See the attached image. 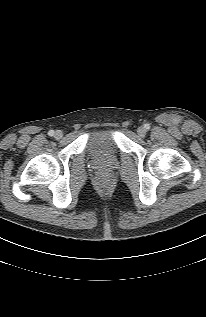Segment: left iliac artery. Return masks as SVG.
<instances>
[{
  "label": "left iliac artery",
  "mask_w": 206,
  "mask_h": 317,
  "mask_svg": "<svg viewBox=\"0 0 206 317\" xmlns=\"http://www.w3.org/2000/svg\"><path fill=\"white\" fill-rule=\"evenodd\" d=\"M144 128L149 130L150 129V125L147 123V124L144 125Z\"/></svg>",
  "instance_id": "1"
}]
</instances>
